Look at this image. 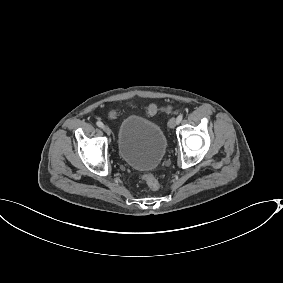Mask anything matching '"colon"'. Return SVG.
<instances>
[{"mask_svg":"<svg viewBox=\"0 0 283 283\" xmlns=\"http://www.w3.org/2000/svg\"><path fill=\"white\" fill-rule=\"evenodd\" d=\"M147 110H148L149 113L154 114L159 109L155 105H150L149 107H147ZM161 110L162 111H170V108L169 107H165V108H162ZM114 114H115V112L112 113V115H114ZM142 179L146 182L147 186L151 190L155 191V190H157L159 188V182H158V180L156 179V177L153 174H150V173L144 174L142 176Z\"/></svg>","mask_w":283,"mask_h":283,"instance_id":"colon-1","label":"colon"}]
</instances>
